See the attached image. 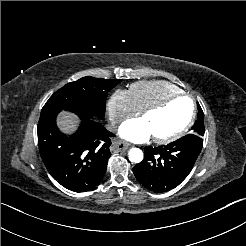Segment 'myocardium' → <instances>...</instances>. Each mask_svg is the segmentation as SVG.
<instances>
[{
  "label": "myocardium",
  "mask_w": 246,
  "mask_h": 246,
  "mask_svg": "<svg viewBox=\"0 0 246 246\" xmlns=\"http://www.w3.org/2000/svg\"><path fill=\"white\" fill-rule=\"evenodd\" d=\"M187 98L189 99L190 103H191V112L190 115L187 119V121L185 122V124L178 129L177 131H175L174 133L168 135V136H164V137H153V140L158 143V144H166V143H170L176 139H178L179 137H181L185 132H187L191 126L194 123L195 120V114H196V108H195V104L193 101V98L191 95H189L188 93H179L176 94L174 96H171L167 99H165L164 101L151 105L147 108H145L142 112H141V118H145L149 113L154 112V111H158V110H162L164 109L169 103H171L172 101L178 99V98Z\"/></svg>",
  "instance_id": "myocardium-1"
}]
</instances>
